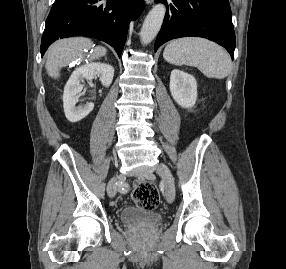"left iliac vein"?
Returning <instances> with one entry per match:
<instances>
[{"instance_id":"obj_1","label":"left iliac vein","mask_w":286,"mask_h":269,"mask_svg":"<svg viewBox=\"0 0 286 269\" xmlns=\"http://www.w3.org/2000/svg\"><path fill=\"white\" fill-rule=\"evenodd\" d=\"M157 173L164 183L166 199L169 203H172L175 198V185L172 174L169 168L163 163L158 165Z\"/></svg>"}]
</instances>
